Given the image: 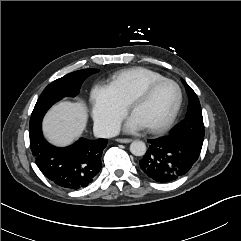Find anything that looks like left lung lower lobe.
Instances as JSON below:
<instances>
[{"mask_svg":"<svg viewBox=\"0 0 241 241\" xmlns=\"http://www.w3.org/2000/svg\"><path fill=\"white\" fill-rule=\"evenodd\" d=\"M148 142L150 146L139 161L140 168L147 177L161 183L181 178L191 169L200 154L176 136L169 135Z\"/></svg>","mask_w":241,"mask_h":241,"instance_id":"1","label":"left lung lower lobe"}]
</instances>
